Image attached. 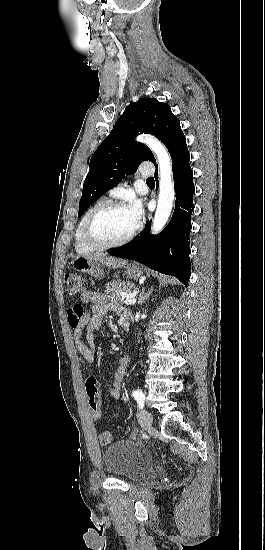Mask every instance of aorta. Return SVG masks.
Returning <instances> with one entry per match:
<instances>
[{
    "label": "aorta",
    "mask_w": 265,
    "mask_h": 550,
    "mask_svg": "<svg viewBox=\"0 0 265 550\" xmlns=\"http://www.w3.org/2000/svg\"><path fill=\"white\" fill-rule=\"evenodd\" d=\"M150 147L156 155L159 167V197L158 205L152 223V232L159 233L166 225L172 211L175 199L174 182L172 178L171 157L165 146L150 135H141L137 138Z\"/></svg>",
    "instance_id": "obj_1"
}]
</instances>
